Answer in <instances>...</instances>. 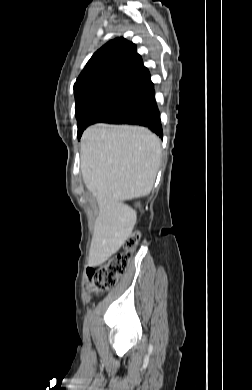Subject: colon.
<instances>
[{
  "instance_id": "5ec220e1",
  "label": "colon",
  "mask_w": 252,
  "mask_h": 390,
  "mask_svg": "<svg viewBox=\"0 0 252 390\" xmlns=\"http://www.w3.org/2000/svg\"><path fill=\"white\" fill-rule=\"evenodd\" d=\"M140 240L138 232L132 234L123 243V250L108 259L104 264L88 271L90 284L94 292H103L116 285L120 275L127 269Z\"/></svg>"
}]
</instances>
